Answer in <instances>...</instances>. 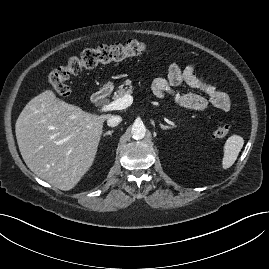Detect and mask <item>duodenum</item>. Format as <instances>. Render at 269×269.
Masks as SVG:
<instances>
[{"mask_svg": "<svg viewBox=\"0 0 269 269\" xmlns=\"http://www.w3.org/2000/svg\"><path fill=\"white\" fill-rule=\"evenodd\" d=\"M111 93V89L107 86H104L97 90L91 97V101L95 105L103 104Z\"/></svg>", "mask_w": 269, "mask_h": 269, "instance_id": "1", "label": "duodenum"}]
</instances>
